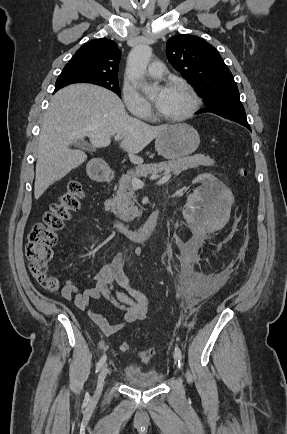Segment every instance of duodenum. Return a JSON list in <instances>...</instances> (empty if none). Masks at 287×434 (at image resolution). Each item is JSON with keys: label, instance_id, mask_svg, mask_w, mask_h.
Returning <instances> with one entry per match:
<instances>
[{"label": "duodenum", "instance_id": "duodenum-1", "mask_svg": "<svg viewBox=\"0 0 287 434\" xmlns=\"http://www.w3.org/2000/svg\"><path fill=\"white\" fill-rule=\"evenodd\" d=\"M89 172L91 177L96 181L110 182L114 178L113 172L110 170V168L105 162H98L92 164L90 166ZM110 210L111 204L109 201H107L105 203V212L108 214L110 213ZM158 219L159 212L155 210L151 213L145 225L137 229L128 228L124 222L118 219H112V224L120 235L136 243H145L154 234L158 224Z\"/></svg>", "mask_w": 287, "mask_h": 434}]
</instances>
